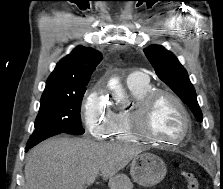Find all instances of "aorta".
Wrapping results in <instances>:
<instances>
[{"instance_id": "aorta-1", "label": "aorta", "mask_w": 223, "mask_h": 189, "mask_svg": "<svg viewBox=\"0 0 223 189\" xmlns=\"http://www.w3.org/2000/svg\"><path fill=\"white\" fill-rule=\"evenodd\" d=\"M108 87L114 92V97L116 101L122 103L126 102V96L118 77H112L108 82Z\"/></svg>"}]
</instances>
